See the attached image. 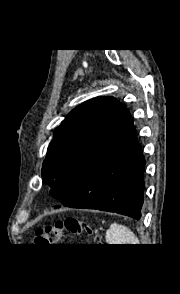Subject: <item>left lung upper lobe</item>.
I'll use <instances>...</instances> for the list:
<instances>
[{
  "label": "left lung upper lobe",
  "instance_id": "left-lung-upper-lobe-1",
  "mask_svg": "<svg viewBox=\"0 0 180 294\" xmlns=\"http://www.w3.org/2000/svg\"><path fill=\"white\" fill-rule=\"evenodd\" d=\"M126 111L114 97L93 98L73 109L55 129L42 166L43 182L54 198L60 200L71 191Z\"/></svg>",
  "mask_w": 180,
  "mask_h": 294
}]
</instances>
